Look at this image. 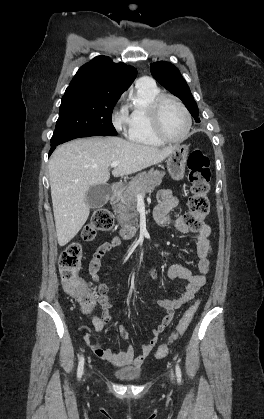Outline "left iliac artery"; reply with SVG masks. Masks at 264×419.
<instances>
[{"label": "left iliac artery", "mask_w": 264, "mask_h": 419, "mask_svg": "<svg viewBox=\"0 0 264 419\" xmlns=\"http://www.w3.org/2000/svg\"><path fill=\"white\" fill-rule=\"evenodd\" d=\"M176 376H177V380L180 383L181 382V369L179 364H176Z\"/></svg>", "instance_id": "obj_1"}]
</instances>
